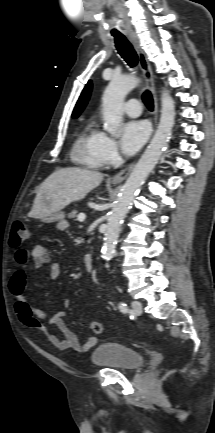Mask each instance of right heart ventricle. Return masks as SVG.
I'll return each instance as SVG.
<instances>
[{
    "label": "right heart ventricle",
    "instance_id": "obj_1",
    "mask_svg": "<svg viewBox=\"0 0 215 433\" xmlns=\"http://www.w3.org/2000/svg\"><path fill=\"white\" fill-rule=\"evenodd\" d=\"M103 133L93 123H87L79 134L72 151L75 162L90 167L100 168L104 165L100 155V144Z\"/></svg>",
    "mask_w": 215,
    "mask_h": 433
}]
</instances>
